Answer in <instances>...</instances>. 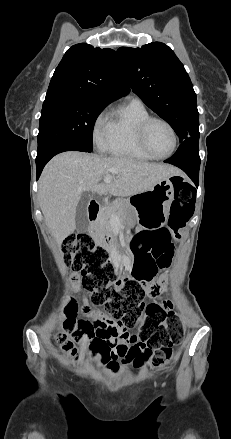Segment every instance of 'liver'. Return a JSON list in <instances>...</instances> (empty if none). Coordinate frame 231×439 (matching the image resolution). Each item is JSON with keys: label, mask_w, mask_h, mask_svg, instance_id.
<instances>
[{"label": "liver", "mask_w": 231, "mask_h": 439, "mask_svg": "<svg viewBox=\"0 0 231 439\" xmlns=\"http://www.w3.org/2000/svg\"><path fill=\"white\" fill-rule=\"evenodd\" d=\"M113 176H112V175ZM179 169L125 157H100L83 152H65L45 166L39 179V200L48 228L58 244L76 228V208L85 191L99 195L132 196L147 190ZM106 176L110 183L100 184Z\"/></svg>", "instance_id": "1"}]
</instances>
